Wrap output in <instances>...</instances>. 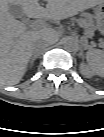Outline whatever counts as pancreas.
I'll return each instance as SVG.
<instances>
[{
    "mask_svg": "<svg viewBox=\"0 0 104 137\" xmlns=\"http://www.w3.org/2000/svg\"><path fill=\"white\" fill-rule=\"evenodd\" d=\"M83 19L82 18H80L78 21L80 22V21H82ZM86 20L89 22V21H91V17L89 16V15H86ZM88 25H89V23H88Z\"/></svg>",
    "mask_w": 104,
    "mask_h": 137,
    "instance_id": "1",
    "label": "pancreas"
}]
</instances>
